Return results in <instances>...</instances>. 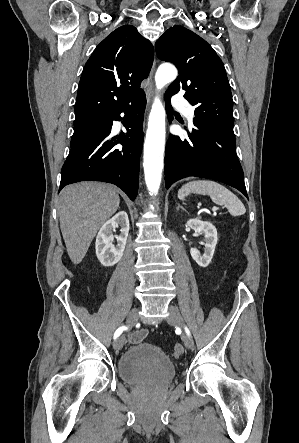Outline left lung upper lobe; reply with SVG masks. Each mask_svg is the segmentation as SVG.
Returning <instances> with one entry per match:
<instances>
[{
    "mask_svg": "<svg viewBox=\"0 0 299 443\" xmlns=\"http://www.w3.org/2000/svg\"><path fill=\"white\" fill-rule=\"evenodd\" d=\"M160 60L176 65L179 76L165 95L184 90L195 106L194 123L205 122L233 133V100L224 65L213 48L182 26L169 28L156 42Z\"/></svg>",
    "mask_w": 299,
    "mask_h": 443,
    "instance_id": "1",
    "label": "left lung upper lobe"
}]
</instances>
